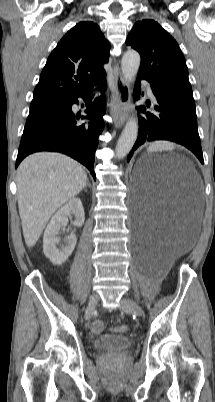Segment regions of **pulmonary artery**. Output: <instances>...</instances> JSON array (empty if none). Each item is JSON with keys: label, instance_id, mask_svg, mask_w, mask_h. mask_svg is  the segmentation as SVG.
<instances>
[{"label": "pulmonary artery", "instance_id": "e3ab8cb5", "mask_svg": "<svg viewBox=\"0 0 215 402\" xmlns=\"http://www.w3.org/2000/svg\"><path fill=\"white\" fill-rule=\"evenodd\" d=\"M145 85H146V87H147V93H148V95H149L150 97H153V92H152L151 87H150L149 84L146 83V82H145Z\"/></svg>", "mask_w": 215, "mask_h": 402}]
</instances>
